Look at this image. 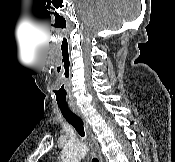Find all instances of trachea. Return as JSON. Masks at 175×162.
<instances>
[{
  "label": "trachea",
  "mask_w": 175,
  "mask_h": 162,
  "mask_svg": "<svg viewBox=\"0 0 175 162\" xmlns=\"http://www.w3.org/2000/svg\"><path fill=\"white\" fill-rule=\"evenodd\" d=\"M63 117L75 128L81 137L85 136L82 119L73 113L68 107H59ZM92 162H99L97 158H93Z\"/></svg>",
  "instance_id": "obj_1"
}]
</instances>
